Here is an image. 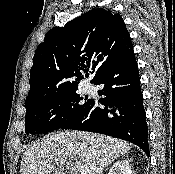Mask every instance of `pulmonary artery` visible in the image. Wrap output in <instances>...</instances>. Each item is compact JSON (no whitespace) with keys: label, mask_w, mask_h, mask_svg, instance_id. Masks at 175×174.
<instances>
[{"label":"pulmonary artery","mask_w":175,"mask_h":174,"mask_svg":"<svg viewBox=\"0 0 175 174\" xmlns=\"http://www.w3.org/2000/svg\"><path fill=\"white\" fill-rule=\"evenodd\" d=\"M86 88H87L88 91H91L93 87L91 85H87Z\"/></svg>","instance_id":"obj_1"}]
</instances>
